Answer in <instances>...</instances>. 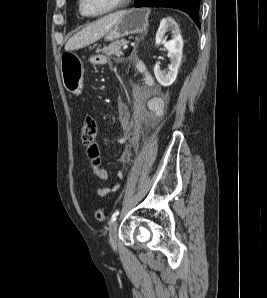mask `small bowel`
<instances>
[{
	"instance_id": "1",
	"label": "small bowel",
	"mask_w": 267,
	"mask_h": 298,
	"mask_svg": "<svg viewBox=\"0 0 267 298\" xmlns=\"http://www.w3.org/2000/svg\"><path fill=\"white\" fill-rule=\"evenodd\" d=\"M91 63L94 66H108L109 60L104 55H95L91 58ZM137 70L144 75V81L148 88L154 90L153 96L147 102V109L149 115L146 118V125L153 126L157 120L163 115L165 110V102L161 94L157 92L155 87V82L153 77L147 72L146 67L143 62L136 61ZM92 173L94 176L98 177L102 182H106L109 178L108 171L100 166L92 168ZM119 185L114 186H103L98 188L97 195L99 197H105L110 193L116 192Z\"/></svg>"
}]
</instances>
